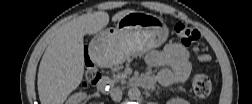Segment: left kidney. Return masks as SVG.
<instances>
[{"instance_id": "1", "label": "left kidney", "mask_w": 252, "mask_h": 104, "mask_svg": "<svg viewBox=\"0 0 252 104\" xmlns=\"http://www.w3.org/2000/svg\"><path fill=\"white\" fill-rule=\"evenodd\" d=\"M170 103L171 104H185L186 101L184 99H181V98H172L170 100Z\"/></svg>"}]
</instances>
